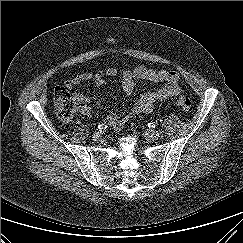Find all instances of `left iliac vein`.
Listing matches in <instances>:
<instances>
[{
  "label": "left iliac vein",
  "mask_w": 243,
  "mask_h": 243,
  "mask_svg": "<svg viewBox=\"0 0 243 243\" xmlns=\"http://www.w3.org/2000/svg\"><path fill=\"white\" fill-rule=\"evenodd\" d=\"M146 135L152 140H158L160 138V133L156 130H149L146 132Z\"/></svg>",
  "instance_id": "obj_1"
}]
</instances>
